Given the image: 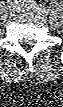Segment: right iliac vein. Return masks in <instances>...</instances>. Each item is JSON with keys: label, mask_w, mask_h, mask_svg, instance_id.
Returning <instances> with one entry per match:
<instances>
[{"label": "right iliac vein", "mask_w": 63, "mask_h": 107, "mask_svg": "<svg viewBox=\"0 0 63 107\" xmlns=\"http://www.w3.org/2000/svg\"><path fill=\"white\" fill-rule=\"evenodd\" d=\"M8 11H9V14H10L11 16H15V14H16V12H17V7L11 5V6L8 8Z\"/></svg>", "instance_id": "obj_1"}]
</instances>
